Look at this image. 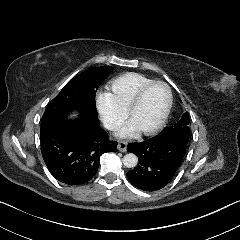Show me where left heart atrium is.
<instances>
[{
  "mask_svg": "<svg viewBox=\"0 0 240 240\" xmlns=\"http://www.w3.org/2000/svg\"><path fill=\"white\" fill-rule=\"evenodd\" d=\"M139 132L138 127L133 123L129 122L118 132L120 138H130L135 136Z\"/></svg>",
  "mask_w": 240,
  "mask_h": 240,
  "instance_id": "39dd6f15",
  "label": "left heart atrium"
}]
</instances>
